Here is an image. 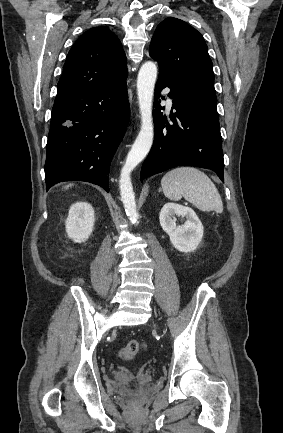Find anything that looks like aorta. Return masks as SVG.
<instances>
[{
    "instance_id": "aorta-1",
    "label": "aorta",
    "mask_w": 283,
    "mask_h": 433,
    "mask_svg": "<svg viewBox=\"0 0 283 433\" xmlns=\"http://www.w3.org/2000/svg\"><path fill=\"white\" fill-rule=\"evenodd\" d=\"M156 77V64L151 61L145 62L141 66L137 77V95L141 115V127L139 134L127 155L119 179L121 200L125 212L132 223L137 222L138 213L130 174L149 153L153 143L154 127L152 107Z\"/></svg>"
}]
</instances>
